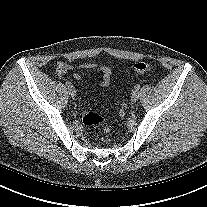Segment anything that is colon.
I'll use <instances>...</instances> for the list:
<instances>
[{
    "label": "colon",
    "instance_id": "colon-1",
    "mask_svg": "<svg viewBox=\"0 0 207 207\" xmlns=\"http://www.w3.org/2000/svg\"><path fill=\"white\" fill-rule=\"evenodd\" d=\"M152 70V66L146 62H137L132 66V71L139 74H149ZM126 108V104H124L121 115L125 114ZM82 123L87 127L103 126L106 132L109 131V128L104 125V117L95 111L84 112L82 115Z\"/></svg>",
    "mask_w": 207,
    "mask_h": 207
}]
</instances>
